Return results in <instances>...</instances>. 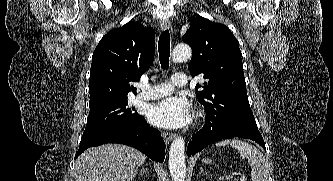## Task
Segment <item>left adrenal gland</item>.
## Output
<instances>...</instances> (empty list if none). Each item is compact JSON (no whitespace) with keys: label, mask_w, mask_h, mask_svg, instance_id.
I'll return each mask as SVG.
<instances>
[{"label":"left adrenal gland","mask_w":333,"mask_h":181,"mask_svg":"<svg viewBox=\"0 0 333 181\" xmlns=\"http://www.w3.org/2000/svg\"><path fill=\"white\" fill-rule=\"evenodd\" d=\"M201 173L208 174L207 172H204V170H203V168H202V167H201V168H200V170H199V175H200Z\"/></svg>","instance_id":"a2214340"}]
</instances>
